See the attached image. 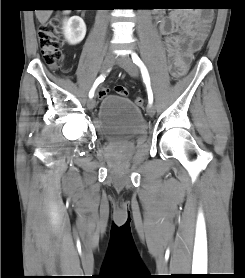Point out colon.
Listing matches in <instances>:
<instances>
[{"instance_id":"1","label":"colon","mask_w":245,"mask_h":278,"mask_svg":"<svg viewBox=\"0 0 245 278\" xmlns=\"http://www.w3.org/2000/svg\"><path fill=\"white\" fill-rule=\"evenodd\" d=\"M195 8H200L203 11H209L211 8H214L210 3V0H203V2L194 6ZM208 17H205V22L203 24V28L205 30L209 29ZM61 25V21L58 17L52 18L49 22L44 24L38 31V40L41 48V53L43 60L46 65L49 67L56 69L59 67L61 62L63 61V54L60 48V40L58 37V28ZM171 76L177 78L181 75V72L174 66L170 68ZM116 93L119 96H126L128 94V90L125 87L119 86L115 88ZM107 89H102L99 91V96L108 94ZM135 104L141 107L144 104V98L141 96H137L134 100Z\"/></svg>"}]
</instances>
